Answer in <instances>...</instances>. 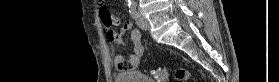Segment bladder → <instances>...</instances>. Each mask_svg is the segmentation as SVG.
<instances>
[{
    "label": "bladder",
    "mask_w": 279,
    "mask_h": 82,
    "mask_svg": "<svg viewBox=\"0 0 279 82\" xmlns=\"http://www.w3.org/2000/svg\"><path fill=\"white\" fill-rule=\"evenodd\" d=\"M116 82H154L145 74L139 72H122L115 76Z\"/></svg>",
    "instance_id": "bladder-1"
}]
</instances>
